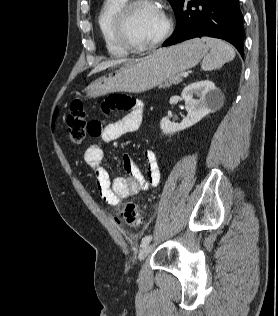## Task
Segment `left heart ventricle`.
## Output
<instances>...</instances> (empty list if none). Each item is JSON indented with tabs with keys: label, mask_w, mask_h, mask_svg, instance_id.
I'll return each mask as SVG.
<instances>
[{
	"label": "left heart ventricle",
	"mask_w": 278,
	"mask_h": 316,
	"mask_svg": "<svg viewBox=\"0 0 278 316\" xmlns=\"http://www.w3.org/2000/svg\"><path fill=\"white\" fill-rule=\"evenodd\" d=\"M165 27L160 10L149 4L137 7L128 20V32L136 44H147L160 36Z\"/></svg>",
	"instance_id": "1"
}]
</instances>
